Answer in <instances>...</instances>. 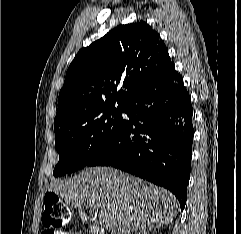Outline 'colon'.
Here are the masks:
<instances>
[{"mask_svg":"<svg viewBox=\"0 0 241 234\" xmlns=\"http://www.w3.org/2000/svg\"><path fill=\"white\" fill-rule=\"evenodd\" d=\"M70 220V210L60 198L53 193L45 196V209L42 223L48 230L60 227Z\"/></svg>","mask_w":241,"mask_h":234,"instance_id":"1","label":"colon"}]
</instances>
